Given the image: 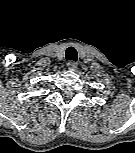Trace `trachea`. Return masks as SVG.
Here are the masks:
<instances>
[{
	"label": "trachea",
	"mask_w": 135,
	"mask_h": 153,
	"mask_svg": "<svg viewBox=\"0 0 135 153\" xmlns=\"http://www.w3.org/2000/svg\"><path fill=\"white\" fill-rule=\"evenodd\" d=\"M66 59L76 62L78 59L77 51L74 47H68L66 50Z\"/></svg>",
	"instance_id": "1"
}]
</instances>
